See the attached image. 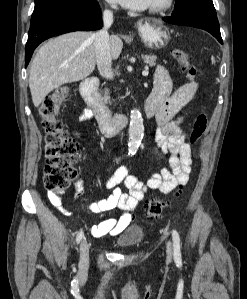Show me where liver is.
I'll use <instances>...</instances> for the list:
<instances>
[{
    "label": "liver",
    "mask_w": 247,
    "mask_h": 299,
    "mask_svg": "<svg viewBox=\"0 0 247 299\" xmlns=\"http://www.w3.org/2000/svg\"><path fill=\"white\" fill-rule=\"evenodd\" d=\"M112 59H117L123 42L109 38ZM95 34L85 31L66 33L50 39L36 53L31 64L29 87L35 107L54 89L87 78L95 69Z\"/></svg>",
    "instance_id": "liver-1"
}]
</instances>
